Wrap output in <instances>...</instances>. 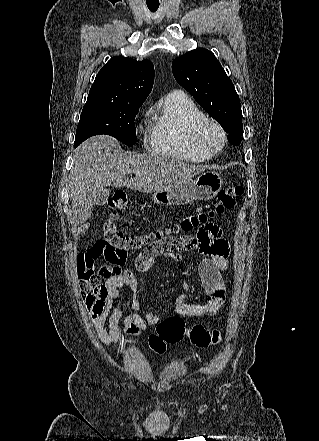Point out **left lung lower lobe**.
<instances>
[{"mask_svg":"<svg viewBox=\"0 0 319 441\" xmlns=\"http://www.w3.org/2000/svg\"><path fill=\"white\" fill-rule=\"evenodd\" d=\"M229 141H230L231 143H233V144L236 145V137H235V136L231 137V138L229 139Z\"/></svg>","mask_w":319,"mask_h":441,"instance_id":"1","label":"left lung lower lobe"}]
</instances>
